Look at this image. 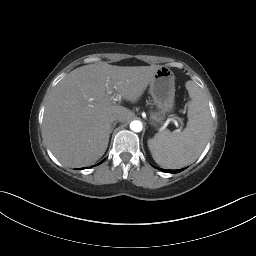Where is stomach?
I'll return each mask as SVG.
<instances>
[{
  "mask_svg": "<svg viewBox=\"0 0 256 256\" xmlns=\"http://www.w3.org/2000/svg\"><path fill=\"white\" fill-rule=\"evenodd\" d=\"M150 94L161 113L171 112L175 106V76L167 67H161L150 82Z\"/></svg>",
  "mask_w": 256,
  "mask_h": 256,
  "instance_id": "0dacf381",
  "label": "stomach"
}]
</instances>
